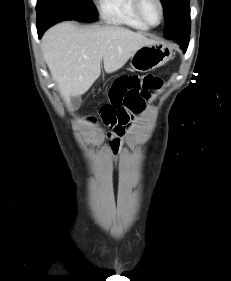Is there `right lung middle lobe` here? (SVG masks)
I'll list each match as a JSON object with an SVG mask.
<instances>
[{
	"mask_svg": "<svg viewBox=\"0 0 231 281\" xmlns=\"http://www.w3.org/2000/svg\"><path fill=\"white\" fill-rule=\"evenodd\" d=\"M37 22L64 17L63 20L93 22L97 11L91 0H37Z\"/></svg>",
	"mask_w": 231,
	"mask_h": 281,
	"instance_id": "dd1d6c3e",
	"label": "right lung middle lobe"
}]
</instances>
